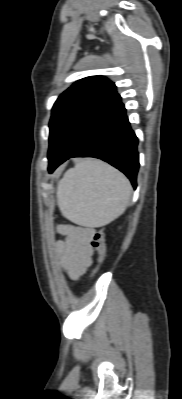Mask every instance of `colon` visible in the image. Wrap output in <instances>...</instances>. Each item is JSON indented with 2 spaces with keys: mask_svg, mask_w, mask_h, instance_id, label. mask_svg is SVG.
Listing matches in <instances>:
<instances>
[{
  "mask_svg": "<svg viewBox=\"0 0 182 399\" xmlns=\"http://www.w3.org/2000/svg\"><path fill=\"white\" fill-rule=\"evenodd\" d=\"M92 244L97 251L98 257H97L96 267L93 270L91 277H93L98 272L100 266L102 265V263L106 258L107 248H106L104 228H99L98 230L95 231L92 239Z\"/></svg>",
  "mask_w": 182,
  "mask_h": 399,
  "instance_id": "5ec220e1",
  "label": "colon"
}]
</instances>
